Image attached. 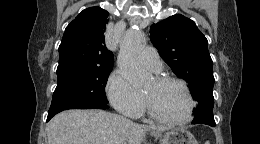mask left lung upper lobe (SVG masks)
Listing matches in <instances>:
<instances>
[{
	"label": "left lung upper lobe",
	"mask_w": 260,
	"mask_h": 144,
	"mask_svg": "<svg viewBox=\"0 0 260 144\" xmlns=\"http://www.w3.org/2000/svg\"><path fill=\"white\" fill-rule=\"evenodd\" d=\"M150 37L161 58L177 77L189 83L191 94L198 101L193 124L215 125L212 59L207 39L195 22L176 14L151 25Z\"/></svg>",
	"instance_id": "5c2ea615"
}]
</instances>
